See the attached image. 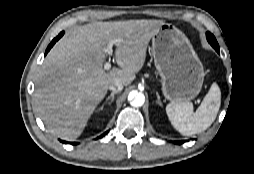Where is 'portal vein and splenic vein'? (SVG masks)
Segmentation results:
<instances>
[{
  "instance_id": "portal-vein-and-splenic-vein-1",
  "label": "portal vein and splenic vein",
  "mask_w": 254,
  "mask_h": 174,
  "mask_svg": "<svg viewBox=\"0 0 254 174\" xmlns=\"http://www.w3.org/2000/svg\"><path fill=\"white\" fill-rule=\"evenodd\" d=\"M121 42H122L121 39H116V40H113V41L109 42V43L107 44V46L104 48V51H105L106 53H108L109 55H112V54H113V49H112L113 45H118V44L121 43ZM110 68H111V63H110V62H106V63L104 64V69H105L106 71H108V70H110Z\"/></svg>"
}]
</instances>
